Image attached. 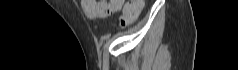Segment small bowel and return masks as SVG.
Segmentation results:
<instances>
[{
    "label": "small bowel",
    "mask_w": 238,
    "mask_h": 70,
    "mask_svg": "<svg viewBox=\"0 0 238 70\" xmlns=\"http://www.w3.org/2000/svg\"><path fill=\"white\" fill-rule=\"evenodd\" d=\"M102 2H109V1H108V0H99V1H96V3H99V4H102ZM81 5H82V8L85 9L86 3L82 2ZM120 8H121V7H119V9H120Z\"/></svg>",
    "instance_id": "1"
}]
</instances>
